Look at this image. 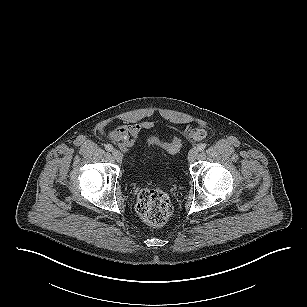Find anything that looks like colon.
I'll list each match as a JSON object with an SVG mask.
<instances>
[{
  "instance_id": "5ec220e1",
  "label": "colon",
  "mask_w": 307,
  "mask_h": 307,
  "mask_svg": "<svg viewBox=\"0 0 307 307\" xmlns=\"http://www.w3.org/2000/svg\"><path fill=\"white\" fill-rule=\"evenodd\" d=\"M190 135L194 139L201 140L206 137V131L200 128L193 130ZM148 144L157 145L172 154L179 152L182 147V141L178 136H173L170 140L150 136ZM137 211L148 223L162 225L171 216L172 205L169 197L162 190L144 188L138 193Z\"/></svg>"
}]
</instances>
